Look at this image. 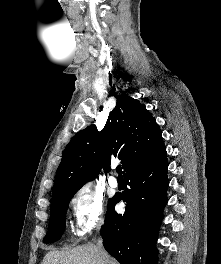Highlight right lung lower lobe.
<instances>
[{
	"label": "right lung lower lobe",
	"mask_w": 221,
	"mask_h": 264,
	"mask_svg": "<svg viewBox=\"0 0 221 264\" xmlns=\"http://www.w3.org/2000/svg\"><path fill=\"white\" fill-rule=\"evenodd\" d=\"M168 162L166 151L153 162L132 169L124 178L129 188L114 196L101 228L106 251L121 264H157L156 241L167 203ZM127 202L125 213L114 207Z\"/></svg>",
	"instance_id": "right-lung-lower-lobe-1"
}]
</instances>
